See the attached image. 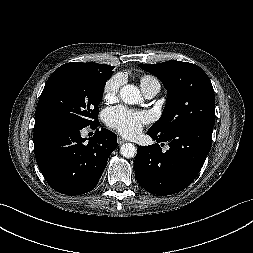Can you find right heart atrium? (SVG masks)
Returning <instances> with one entry per match:
<instances>
[{
  "label": "right heart atrium",
  "mask_w": 253,
  "mask_h": 253,
  "mask_svg": "<svg viewBox=\"0 0 253 253\" xmlns=\"http://www.w3.org/2000/svg\"><path fill=\"white\" fill-rule=\"evenodd\" d=\"M122 78L119 75L111 77L104 85L103 97L106 101H113L118 96Z\"/></svg>",
  "instance_id": "right-heart-atrium-1"
}]
</instances>
